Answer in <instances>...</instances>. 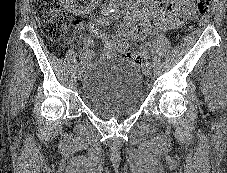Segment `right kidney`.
Listing matches in <instances>:
<instances>
[{
  "label": "right kidney",
  "mask_w": 227,
  "mask_h": 173,
  "mask_svg": "<svg viewBox=\"0 0 227 173\" xmlns=\"http://www.w3.org/2000/svg\"><path fill=\"white\" fill-rule=\"evenodd\" d=\"M75 2L76 0H64L66 9L72 13L80 12V7Z\"/></svg>",
  "instance_id": "ca27d5eb"
}]
</instances>
